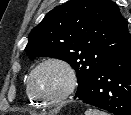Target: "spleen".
I'll use <instances>...</instances> for the list:
<instances>
[{
    "label": "spleen",
    "instance_id": "1",
    "mask_svg": "<svg viewBox=\"0 0 131 115\" xmlns=\"http://www.w3.org/2000/svg\"><path fill=\"white\" fill-rule=\"evenodd\" d=\"M85 115H106V114L99 110H87L85 112Z\"/></svg>",
    "mask_w": 131,
    "mask_h": 115
}]
</instances>
